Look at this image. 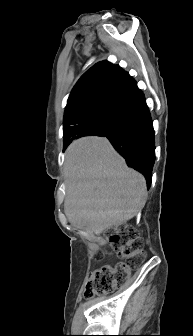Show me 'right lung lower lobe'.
I'll return each instance as SVG.
<instances>
[{
    "label": "right lung lower lobe",
    "mask_w": 193,
    "mask_h": 336,
    "mask_svg": "<svg viewBox=\"0 0 193 336\" xmlns=\"http://www.w3.org/2000/svg\"><path fill=\"white\" fill-rule=\"evenodd\" d=\"M96 135L107 137L127 164L145 176L150 187L155 161L154 130L145 97L135 81L119 98Z\"/></svg>",
    "instance_id": "right-lung-lower-lobe-1"
}]
</instances>
